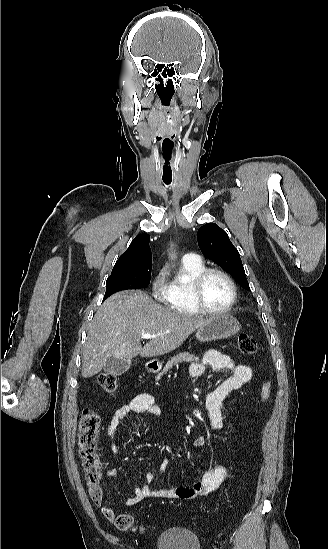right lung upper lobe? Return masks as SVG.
Returning <instances> with one entry per match:
<instances>
[{
  "instance_id": "obj_1",
  "label": "right lung upper lobe",
  "mask_w": 328,
  "mask_h": 549,
  "mask_svg": "<svg viewBox=\"0 0 328 549\" xmlns=\"http://www.w3.org/2000/svg\"><path fill=\"white\" fill-rule=\"evenodd\" d=\"M149 241L150 236L148 234H140L136 236L132 240L128 249L119 257L112 271L140 261L152 259Z\"/></svg>"
}]
</instances>
